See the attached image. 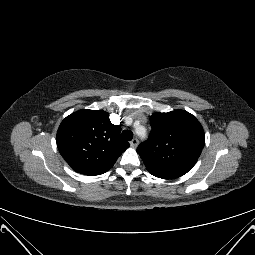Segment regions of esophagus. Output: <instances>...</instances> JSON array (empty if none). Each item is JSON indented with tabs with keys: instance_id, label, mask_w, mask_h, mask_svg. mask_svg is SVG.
<instances>
[{
	"instance_id": "34e87169",
	"label": "esophagus",
	"mask_w": 255,
	"mask_h": 255,
	"mask_svg": "<svg viewBox=\"0 0 255 255\" xmlns=\"http://www.w3.org/2000/svg\"><path fill=\"white\" fill-rule=\"evenodd\" d=\"M139 144V141L137 138H134L132 141H130V146L133 148H136Z\"/></svg>"
}]
</instances>
